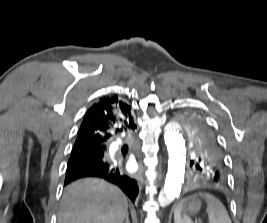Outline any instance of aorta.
I'll return each mask as SVG.
<instances>
[{"label": "aorta", "mask_w": 267, "mask_h": 223, "mask_svg": "<svg viewBox=\"0 0 267 223\" xmlns=\"http://www.w3.org/2000/svg\"><path fill=\"white\" fill-rule=\"evenodd\" d=\"M164 140L168 150V170L164 188L157 197V202L161 206L168 205L180 195L186 165L185 140L177 121H170L167 124ZM191 184L193 183L191 182Z\"/></svg>", "instance_id": "obj_1"}]
</instances>
